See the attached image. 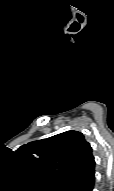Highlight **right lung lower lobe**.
<instances>
[{
  "label": "right lung lower lobe",
  "mask_w": 114,
  "mask_h": 191,
  "mask_svg": "<svg viewBox=\"0 0 114 191\" xmlns=\"http://www.w3.org/2000/svg\"><path fill=\"white\" fill-rule=\"evenodd\" d=\"M95 183V171L71 179L57 188V191H92Z\"/></svg>",
  "instance_id": "98d812e1"
}]
</instances>
